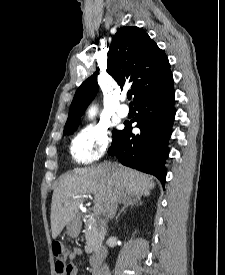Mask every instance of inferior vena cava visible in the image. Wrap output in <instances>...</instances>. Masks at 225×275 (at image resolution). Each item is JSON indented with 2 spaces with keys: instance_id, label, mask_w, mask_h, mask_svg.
I'll list each match as a JSON object with an SVG mask.
<instances>
[{
  "instance_id": "obj_1",
  "label": "inferior vena cava",
  "mask_w": 225,
  "mask_h": 275,
  "mask_svg": "<svg viewBox=\"0 0 225 275\" xmlns=\"http://www.w3.org/2000/svg\"><path fill=\"white\" fill-rule=\"evenodd\" d=\"M124 197L125 196L120 181L115 180L113 183L112 191L109 194V198L106 203V209L109 218L114 217L118 207V203L121 202L124 199ZM97 275H110L108 266L104 264L97 272Z\"/></svg>"
}]
</instances>
